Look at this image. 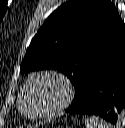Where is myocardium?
Wrapping results in <instances>:
<instances>
[{
  "mask_svg": "<svg viewBox=\"0 0 125 128\" xmlns=\"http://www.w3.org/2000/svg\"><path fill=\"white\" fill-rule=\"evenodd\" d=\"M51 79L59 84L61 87V97L57 104L50 110L40 113H30L25 109V94L37 79ZM73 86L71 81L62 73L54 70H40L32 73L26 80L24 86L20 92V110L24 116L33 120H45L56 117L62 111H64L72 101L73 98Z\"/></svg>",
  "mask_w": 125,
  "mask_h": 128,
  "instance_id": "obj_1",
  "label": "myocardium"
}]
</instances>
